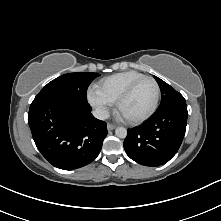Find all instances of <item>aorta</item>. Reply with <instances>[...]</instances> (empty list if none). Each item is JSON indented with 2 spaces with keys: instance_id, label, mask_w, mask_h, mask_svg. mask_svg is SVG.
I'll return each mask as SVG.
<instances>
[{
  "instance_id": "obj_1",
  "label": "aorta",
  "mask_w": 221,
  "mask_h": 221,
  "mask_svg": "<svg viewBox=\"0 0 221 221\" xmlns=\"http://www.w3.org/2000/svg\"><path fill=\"white\" fill-rule=\"evenodd\" d=\"M115 134L118 138H126L127 136V129L124 127H117L115 129Z\"/></svg>"
}]
</instances>
